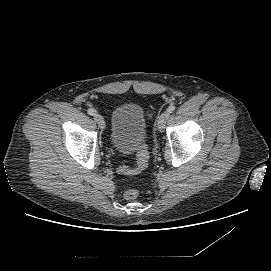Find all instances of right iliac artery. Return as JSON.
<instances>
[{
	"mask_svg": "<svg viewBox=\"0 0 271 271\" xmlns=\"http://www.w3.org/2000/svg\"><path fill=\"white\" fill-rule=\"evenodd\" d=\"M87 112L91 116L95 115V113H96V111L94 109H92V108L88 109Z\"/></svg>",
	"mask_w": 271,
	"mask_h": 271,
	"instance_id": "right-iliac-artery-1",
	"label": "right iliac artery"
}]
</instances>
